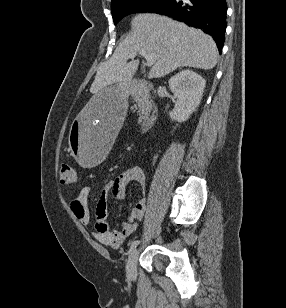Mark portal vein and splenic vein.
I'll list each match as a JSON object with an SVG mask.
<instances>
[{"mask_svg": "<svg viewBox=\"0 0 286 308\" xmlns=\"http://www.w3.org/2000/svg\"><path fill=\"white\" fill-rule=\"evenodd\" d=\"M139 54L146 59L147 66L149 67L155 63L156 58H157L155 53H149V52L142 51V52H139ZM135 56H136V53L129 54V58L131 59H133Z\"/></svg>", "mask_w": 286, "mask_h": 308, "instance_id": "obj_1", "label": "portal vein and splenic vein"}]
</instances>
